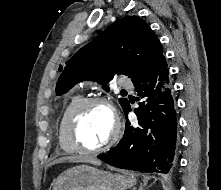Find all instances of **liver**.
Here are the masks:
<instances>
[{"instance_id": "6515ba94", "label": "liver", "mask_w": 221, "mask_h": 190, "mask_svg": "<svg viewBox=\"0 0 221 190\" xmlns=\"http://www.w3.org/2000/svg\"><path fill=\"white\" fill-rule=\"evenodd\" d=\"M65 162H69V163H91L94 165H100L101 161L96 159L95 157L92 156H84V155H72V156H65V157H61L59 159L54 160L52 163H50L48 165L52 166L58 163H65Z\"/></svg>"}]
</instances>
